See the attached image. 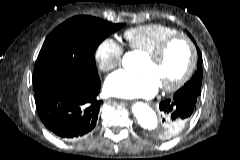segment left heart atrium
Listing matches in <instances>:
<instances>
[{"instance_id":"left-heart-atrium-1","label":"left heart atrium","mask_w":240,"mask_h":160,"mask_svg":"<svg viewBox=\"0 0 240 160\" xmlns=\"http://www.w3.org/2000/svg\"><path fill=\"white\" fill-rule=\"evenodd\" d=\"M159 88V82L150 72L131 73L119 70L111 74L105 83L108 94L123 98H150Z\"/></svg>"}]
</instances>
